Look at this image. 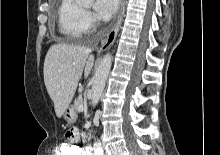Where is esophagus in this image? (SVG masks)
<instances>
[{"label": "esophagus", "mask_w": 220, "mask_h": 155, "mask_svg": "<svg viewBox=\"0 0 220 155\" xmlns=\"http://www.w3.org/2000/svg\"><path fill=\"white\" fill-rule=\"evenodd\" d=\"M124 12H125V0H122L121 7H120V12H119L117 21H116L114 27L108 33L106 39L102 42V44L99 48V51H103L106 48H108L110 45L113 44V42L116 39V36L118 34L120 25L122 23Z\"/></svg>", "instance_id": "34e87169"}]
</instances>
